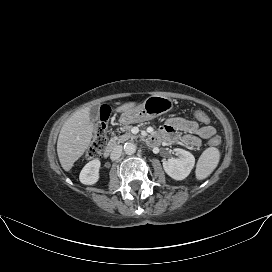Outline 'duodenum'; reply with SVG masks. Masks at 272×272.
<instances>
[{
  "mask_svg": "<svg viewBox=\"0 0 272 272\" xmlns=\"http://www.w3.org/2000/svg\"><path fill=\"white\" fill-rule=\"evenodd\" d=\"M151 138H152V136L148 138V141L151 142L152 141ZM113 147H114V142H111L104 151L105 157H108L110 155L111 151L113 150Z\"/></svg>",
  "mask_w": 272,
  "mask_h": 272,
  "instance_id": "1",
  "label": "duodenum"
}]
</instances>
